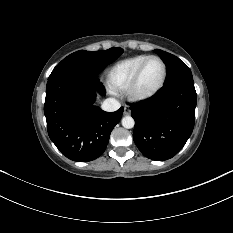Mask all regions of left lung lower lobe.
<instances>
[{
    "mask_svg": "<svg viewBox=\"0 0 233 233\" xmlns=\"http://www.w3.org/2000/svg\"><path fill=\"white\" fill-rule=\"evenodd\" d=\"M196 100L193 81H178L131 106L133 139L144 156L167 160L183 148L194 128Z\"/></svg>",
    "mask_w": 233,
    "mask_h": 233,
    "instance_id": "1",
    "label": "left lung lower lobe"
}]
</instances>
